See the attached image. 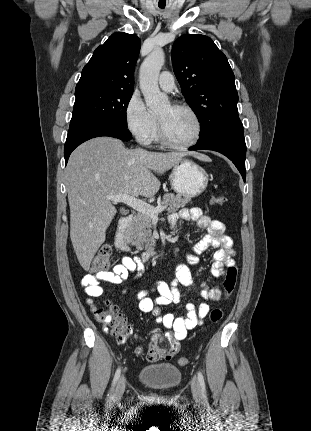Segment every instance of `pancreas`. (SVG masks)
Masks as SVG:
<instances>
[{
  "label": "pancreas",
  "instance_id": "1",
  "mask_svg": "<svg viewBox=\"0 0 311 431\" xmlns=\"http://www.w3.org/2000/svg\"><path fill=\"white\" fill-rule=\"evenodd\" d=\"M161 206H167V212H178L180 208H185L190 204L191 198L188 196H175V194H164ZM151 217L147 214L137 212L133 217L132 223L126 227L125 241L136 245L137 249H146V251H154L156 247V239L152 235Z\"/></svg>",
  "mask_w": 311,
  "mask_h": 431
}]
</instances>
